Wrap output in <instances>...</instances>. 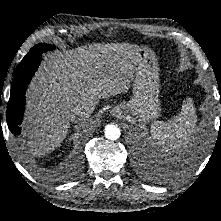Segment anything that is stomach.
Segmentation results:
<instances>
[{
    "label": "stomach",
    "mask_w": 221,
    "mask_h": 221,
    "mask_svg": "<svg viewBox=\"0 0 221 221\" xmlns=\"http://www.w3.org/2000/svg\"><path fill=\"white\" fill-rule=\"evenodd\" d=\"M135 64L132 91L133 96L121 107L137 120L147 122L160 113L159 68L155 53L148 47H142Z\"/></svg>",
    "instance_id": "0dacf381"
}]
</instances>
